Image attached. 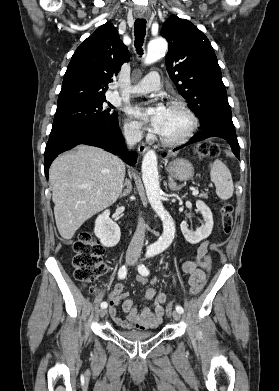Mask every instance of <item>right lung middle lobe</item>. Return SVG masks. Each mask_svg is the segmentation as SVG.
Masks as SVG:
<instances>
[{"instance_id": "right-lung-middle-lobe-1", "label": "right lung middle lobe", "mask_w": 279, "mask_h": 391, "mask_svg": "<svg viewBox=\"0 0 279 391\" xmlns=\"http://www.w3.org/2000/svg\"><path fill=\"white\" fill-rule=\"evenodd\" d=\"M104 102L106 99H98L57 109L52 129L100 123L117 118V113L112 111L113 106L108 103L107 108L103 105Z\"/></svg>"}]
</instances>
